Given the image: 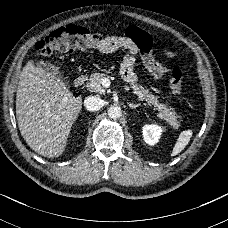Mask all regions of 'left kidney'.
Instances as JSON below:
<instances>
[{
    "label": "left kidney",
    "instance_id": "obj_1",
    "mask_svg": "<svg viewBox=\"0 0 228 228\" xmlns=\"http://www.w3.org/2000/svg\"><path fill=\"white\" fill-rule=\"evenodd\" d=\"M160 128L158 126H145L143 128V137L147 144H155L160 135Z\"/></svg>",
    "mask_w": 228,
    "mask_h": 228
}]
</instances>
